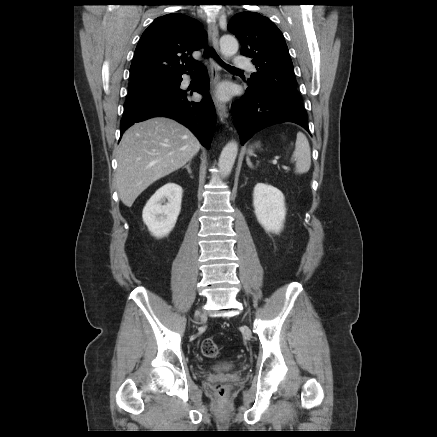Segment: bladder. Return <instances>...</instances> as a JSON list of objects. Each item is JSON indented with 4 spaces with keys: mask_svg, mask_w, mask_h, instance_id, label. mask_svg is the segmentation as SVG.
I'll list each match as a JSON object with an SVG mask.
<instances>
[{
    "mask_svg": "<svg viewBox=\"0 0 437 437\" xmlns=\"http://www.w3.org/2000/svg\"><path fill=\"white\" fill-rule=\"evenodd\" d=\"M237 368L233 361H222L211 366V369L218 372H228Z\"/></svg>",
    "mask_w": 437,
    "mask_h": 437,
    "instance_id": "31cf9c89",
    "label": "bladder"
}]
</instances>
